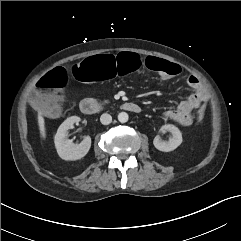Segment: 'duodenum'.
Wrapping results in <instances>:
<instances>
[{
	"label": "duodenum",
	"mask_w": 241,
	"mask_h": 241,
	"mask_svg": "<svg viewBox=\"0 0 241 241\" xmlns=\"http://www.w3.org/2000/svg\"><path fill=\"white\" fill-rule=\"evenodd\" d=\"M103 107L104 106L99 101L93 98H86L80 103V110L85 115H94L100 112ZM122 107L124 110L132 113H139L141 110L139 105L133 102H125L122 104Z\"/></svg>",
	"instance_id": "1"
}]
</instances>
